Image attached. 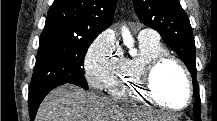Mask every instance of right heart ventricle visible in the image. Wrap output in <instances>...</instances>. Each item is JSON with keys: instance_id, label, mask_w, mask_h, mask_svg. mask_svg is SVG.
Masks as SVG:
<instances>
[{"instance_id": "1", "label": "right heart ventricle", "mask_w": 217, "mask_h": 121, "mask_svg": "<svg viewBox=\"0 0 217 121\" xmlns=\"http://www.w3.org/2000/svg\"><path fill=\"white\" fill-rule=\"evenodd\" d=\"M140 54L136 58H123L112 79L105 87L108 94L125 101L145 99L140 87L143 66L159 55L167 53L160 41L139 39Z\"/></svg>"}]
</instances>
